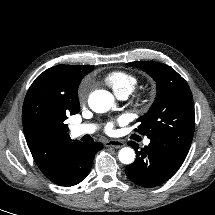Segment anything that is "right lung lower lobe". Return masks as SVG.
<instances>
[{
  "instance_id": "right-lung-lower-lobe-1",
  "label": "right lung lower lobe",
  "mask_w": 215,
  "mask_h": 215,
  "mask_svg": "<svg viewBox=\"0 0 215 215\" xmlns=\"http://www.w3.org/2000/svg\"><path fill=\"white\" fill-rule=\"evenodd\" d=\"M102 143H73L65 152L59 176L51 180L60 186H73L81 182L90 172L95 154L102 149Z\"/></svg>"
}]
</instances>
